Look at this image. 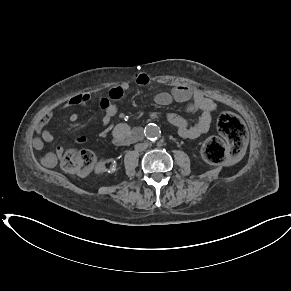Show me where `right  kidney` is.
Instances as JSON below:
<instances>
[{"mask_svg": "<svg viewBox=\"0 0 291 291\" xmlns=\"http://www.w3.org/2000/svg\"><path fill=\"white\" fill-rule=\"evenodd\" d=\"M107 169L104 165V162H99L97 165H96V168H95V172L96 173H102V172H105Z\"/></svg>", "mask_w": 291, "mask_h": 291, "instance_id": "ca27d5eb", "label": "right kidney"}]
</instances>
